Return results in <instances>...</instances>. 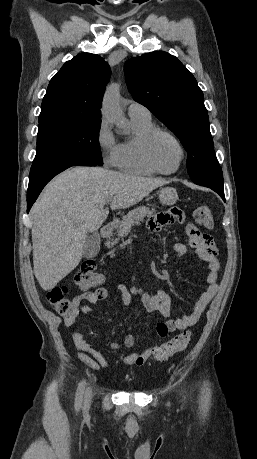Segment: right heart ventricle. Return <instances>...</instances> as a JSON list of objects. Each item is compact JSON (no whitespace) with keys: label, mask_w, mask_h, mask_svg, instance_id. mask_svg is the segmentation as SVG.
Listing matches in <instances>:
<instances>
[{"label":"right heart ventricle","mask_w":257,"mask_h":459,"mask_svg":"<svg viewBox=\"0 0 257 459\" xmlns=\"http://www.w3.org/2000/svg\"><path fill=\"white\" fill-rule=\"evenodd\" d=\"M130 121L133 133L118 144L115 166L136 175H154L156 172L144 158L143 141L156 126L151 117L130 116Z\"/></svg>","instance_id":"e07e8e85"}]
</instances>
